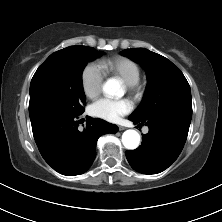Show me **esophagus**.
Instances as JSON below:
<instances>
[{"label":"esophagus","instance_id":"esophagus-1","mask_svg":"<svg viewBox=\"0 0 222 222\" xmlns=\"http://www.w3.org/2000/svg\"><path fill=\"white\" fill-rule=\"evenodd\" d=\"M118 128H119V130L120 131H123V130H125L126 128L125 127H123V126H118Z\"/></svg>","mask_w":222,"mask_h":222}]
</instances>
